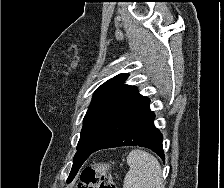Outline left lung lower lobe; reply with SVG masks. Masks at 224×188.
<instances>
[{
    "label": "left lung lower lobe",
    "instance_id": "obj_1",
    "mask_svg": "<svg viewBox=\"0 0 224 188\" xmlns=\"http://www.w3.org/2000/svg\"><path fill=\"white\" fill-rule=\"evenodd\" d=\"M149 103L150 100L144 96L135 101L94 150L88 153L82 161H73L72 169L78 166V170L95 151L121 146L150 148L164 159L162 134L153 123L155 114L150 110Z\"/></svg>",
    "mask_w": 224,
    "mask_h": 188
}]
</instances>
